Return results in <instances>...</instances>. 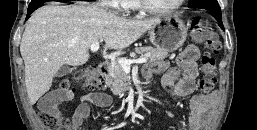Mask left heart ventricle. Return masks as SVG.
<instances>
[{"label": "left heart ventricle", "mask_w": 257, "mask_h": 130, "mask_svg": "<svg viewBox=\"0 0 257 130\" xmlns=\"http://www.w3.org/2000/svg\"><path fill=\"white\" fill-rule=\"evenodd\" d=\"M150 5L156 8H167L174 5L178 0H147Z\"/></svg>", "instance_id": "1"}]
</instances>
